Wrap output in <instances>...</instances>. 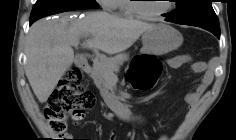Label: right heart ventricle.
<instances>
[{"label": "right heart ventricle", "mask_w": 236, "mask_h": 140, "mask_svg": "<svg viewBox=\"0 0 236 140\" xmlns=\"http://www.w3.org/2000/svg\"><path fill=\"white\" fill-rule=\"evenodd\" d=\"M112 5L114 9L119 10L122 15H133L129 7V0H112Z\"/></svg>", "instance_id": "right-heart-ventricle-1"}]
</instances>
